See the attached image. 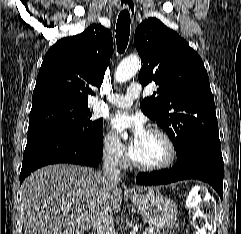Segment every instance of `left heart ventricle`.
<instances>
[{
  "label": "left heart ventricle",
  "mask_w": 241,
  "mask_h": 234,
  "mask_svg": "<svg viewBox=\"0 0 241 234\" xmlns=\"http://www.w3.org/2000/svg\"><path fill=\"white\" fill-rule=\"evenodd\" d=\"M131 152L137 162L146 165L162 163L168 156V149L164 140L149 132L131 149Z\"/></svg>",
  "instance_id": "obj_1"
}]
</instances>
